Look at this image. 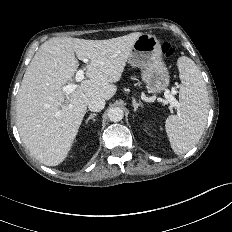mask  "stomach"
Returning <instances> with one entry per match:
<instances>
[{
	"instance_id": "0dacf381",
	"label": "stomach",
	"mask_w": 232,
	"mask_h": 232,
	"mask_svg": "<svg viewBox=\"0 0 232 232\" xmlns=\"http://www.w3.org/2000/svg\"><path fill=\"white\" fill-rule=\"evenodd\" d=\"M128 62L141 69V77L149 93L158 94L170 82L168 68L162 59L161 45L151 34H142L134 43Z\"/></svg>"
}]
</instances>
